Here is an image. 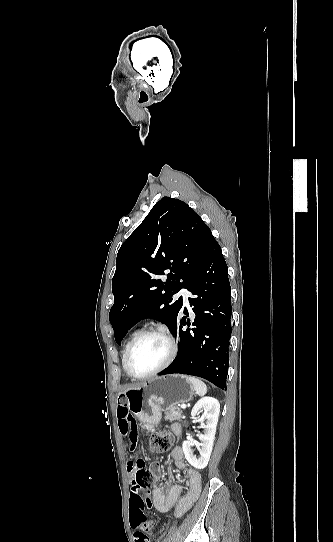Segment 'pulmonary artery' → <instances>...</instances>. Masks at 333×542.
<instances>
[{"label": "pulmonary artery", "instance_id": "1", "mask_svg": "<svg viewBox=\"0 0 333 542\" xmlns=\"http://www.w3.org/2000/svg\"><path fill=\"white\" fill-rule=\"evenodd\" d=\"M182 292L185 294L187 291L184 289ZM179 296H180V293H176V294H175V298H178ZM183 302H184V305L187 304V299L184 298V299H183Z\"/></svg>", "mask_w": 333, "mask_h": 542}]
</instances>
